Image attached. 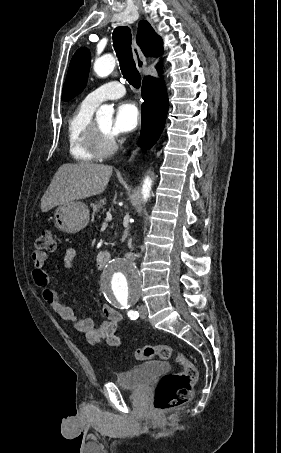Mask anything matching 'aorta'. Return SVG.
Returning a JSON list of instances; mask_svg holds the SVG:
<instances>
[{
	"label": "aorta",
	"mask_w": 281,
	"mask_h": 453,
	"mask_svg": "<svg viewBox=\"0 0 281 453\" xmlns=\"http://www.w3.org/2000/svg\"><path fill=\"white\" fill-rule=\"evenodd\" d=\"M116 66L115 58L112 55H105L95 60L94 71L103 78L112 73ZM114 109L109 105H102L96 112L97 119L110 120ZM152 180L146 176L142 184L143 200L150 197ZM142 279L139 270L134 263L125 260H112L104 268L101 274V292L112 305L125 306L135 302L140 294Z\"/></svg>",
	"instance_id": "1"
}]
</instances>
